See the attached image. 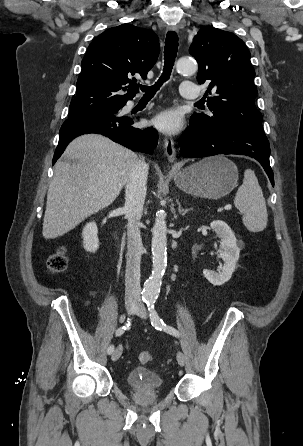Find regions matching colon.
Segmentation results:
<instances>
[{
	"mask_svg": "<svg viewBox=\"0 0 303 446\" xmlns=\"http://www.w3.org/2000/svg\"><path fill=\"white\" fill-rule=\"evenodd\" d=\"M47 268L53 274L64 272L68 266V258L64 248H60L47 258ZM140 363L148 364L153 360V356L148 351H143L138 357Z\"/></svg>",
	"mask_w": 303,
	"mask_h": 446,
	"instance_id": "5ec220e1",
	"label": "colon"
}]
</instances>
